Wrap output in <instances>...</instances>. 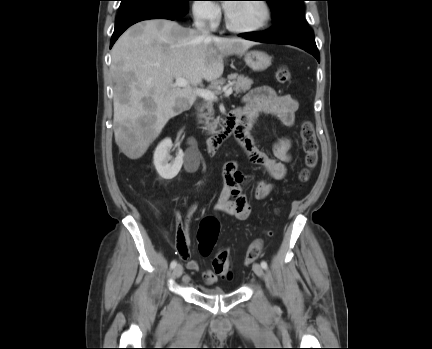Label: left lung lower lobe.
<instances>
[{
  "mask_svg": "<svg viewBox=\"0 0 432 349\" xmlns=\"http://www.w3.org/2000/svg\"><path fill=\"white\" fill-rule=\"evenodd\" d=\"M239 36L257 42L293 45L309 52L320 62L315 38L309 27L275 26L264 32L242 33Z\"/></svg>",
  "mask_w": 432,
  "mask_h": 349,
  "instance_id": "1",
  "label": "left lung lower lobe"
}]
</instances>
